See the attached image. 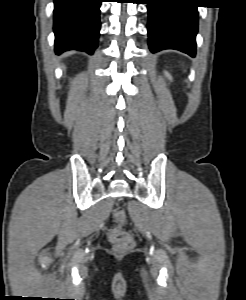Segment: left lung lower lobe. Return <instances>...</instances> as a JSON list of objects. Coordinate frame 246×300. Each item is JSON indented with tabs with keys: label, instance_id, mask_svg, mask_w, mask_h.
Segmentation results:
<instances>
[{
	"label": "left lung lower lobe",
	"instance_id": "left-lung-lower-lobe-1",
	"mask_svg": "<svg viewBox=\"0 0 246 300\" xmlns=\"http://www.w3.org/2000/svg\"><path fill=\"white\" fill-rule=\"evenodd\" d=\"M194 0H147L148 45L152 52L176 49L194 57L198 30Z\"/></svg>",
	"mask_w": 246,
	"mask_h": 300
}]
</instances>
